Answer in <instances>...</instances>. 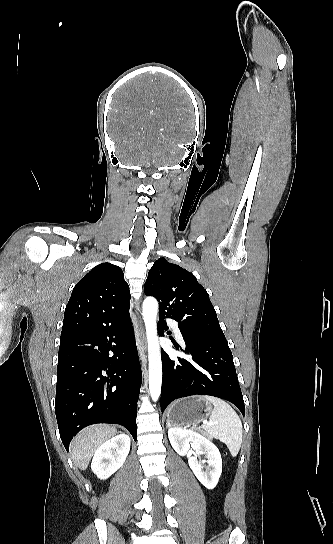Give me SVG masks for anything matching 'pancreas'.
<instances>
[{
  "instance_id": "1",
  "label": "pancreas",
  "mask_w": 333,
  "mask_h": 544,
  "mask_svg": "<svg viewBox=\"0 0 333 544\" xmlns=\"http://www.w3.org/2000/svg\"><path fill=\"white\" fill-rule=\"evenodd\" d=\"M201 432H202V433H203V434H204L205 436H208V434H207V433H205V432H203V431H201Z\"/></svg>"
}]
</instances>
